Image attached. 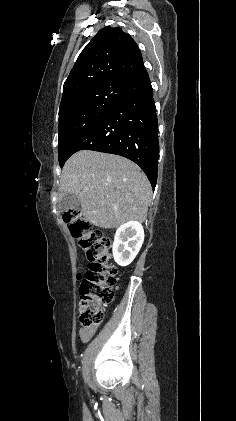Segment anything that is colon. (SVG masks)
I'll use <instances>...</instances> for the list:
<instances>
[{
  "instance_id": "5ec220e1",
  "label": "colon",
  "mask_w": 236,
  "mask_h": 421,
  "mask_svg": "<svg viewBox=\"0 0 236 421\" xmlns=\"http://www.w3.org/2000/svg\"><path fill=\"white\" fill-rule=\"evenodd\" d=\"M64 220L89 261L88 268L78 275L81 297L78 322L81 331H92L102 322L118 282L117 268L110 261L111 240L86 221L80 210H68Z\"/></svg>"
}]
</instances>
